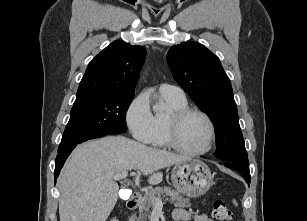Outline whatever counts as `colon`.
I'll list each match as a JSON object with an SVG mask.
<instances>
[{
	"mask_svg": "<svg viewBox=\"0 0 307 221\" xmlns=\"http://www.w3.org/2000/svg\"><path fill=\"white\" fill-rule=\"evenodd\" d=\"M213 216L218 221H232L233 213L229 206L222 200L213 201ZM109 221H120L118 217H112Z\"/></svg>",
	"mask_w": 307,
	"mask_h": 221,
	"instance_id": "1",
	"label": "colon"
}]
</instances>
